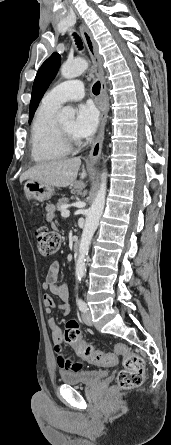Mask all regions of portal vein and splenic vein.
<instances>
[{"label": "portal vein and splenic vein", "instance_id": "1", "mask_svg": "<svg viewBox=\"0 0 171 445\" xmlns=\"http://www.w3.org/2000/svg\"><path fill=\"white\" fill-rule=\"evenodd\" d=\"M69 215H70V211L69 210L63 209L61 211V216L62 217L67 218V217H69Z\"/></svg>", "mask_w": 171, "mask_h": 445}]
</instances>
